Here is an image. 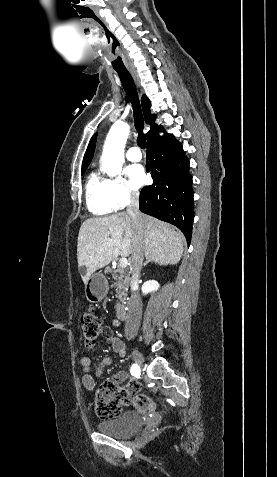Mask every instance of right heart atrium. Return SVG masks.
Here are the masks:
<instances>
[{"instance_id": "1", "label": "right heart atrium", "mask_w": 277, "mask_h": 477, "mask_svg": "<svg viewBox=\"0 0 277 477\" xmlns=\"http://www.w3.org/2000/svg\"><path fill=\"white\" fill-rule=\"evenodd\" d=\"M108 195L114 210H120L139 198V191L122 177L108 179Z\"/></svg>"}]
</instances>
